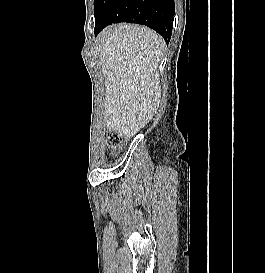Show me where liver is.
Returning <instances> with one entry per match:
<instances>
[{
	"instance_id": "obj_1",
	"label": "liver",
	"mask_w": 265,
	"mask_h": 273,
	"mask_svg": "<svg viewBox=\"0 0 265 273\" xmlns=\"http://www.w3.org/2000/svg\"><path fill=\"white\" fill-rule=\"evenodd\" d=\"M98 40L106 87V124L120 136L131 138L159 106L158 67L166 43L153 30L133 24L110 26Z\"/></svg>"
}]
</instances>
